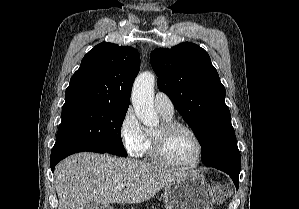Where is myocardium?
Returning a JSON list of instances; mask_svg holds the SVG:
<instances>
[{
	"label": "myocardium",
	"mask_w": 299,
	"mask_h": 209,
	"mask_svg": "<svg viewBox=\"0 0 299 209\" xmlns=\"http://www.w3.org/2000/svg\"><path fill=\"white\" fill-rule=\"evenodd\" d=\"M184 130L188 132L195 140L197 144V156L196 159L190 164H177L172 162L166 155V144L168 137L171 133ZM152 158L159 164L173 168L178 170H190L197 167L203 157L204 154V146L203 143L197 134V132L192 129L190 126L177 122V121H164L160 125V131L158 133L151 134V150H150Z\"/></svg>",
	"instance_id": "myocardium-1"
}]
</instances>
